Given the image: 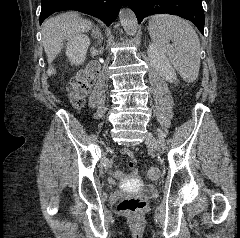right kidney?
Masks as SVG:
<instances>
[{
	"instance_id": "right-kidney-1",
	"label": "right kidney",
	"mask_w": 240,
	"mask_h": 238,
	"mask_svg": "<svg viewBox=\"0 0 240 238\" xmlns=\"http://www.w3.org/2000/svg\"><path fill=\"white\" fill-rule=\"evenodd\" d=\"M90 45L87 35L76 34L67 43L66 56L72 65L79 66L84 63Z\"/></svg>"
}]
</instances>
